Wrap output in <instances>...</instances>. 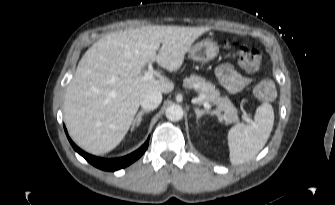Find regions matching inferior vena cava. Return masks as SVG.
Masks as SVG:
<instances>
[{"instance_id": "inferior-vena-cava-1", "label": "inferior vena cava", "mask_w": 335, "mask_h": 205, "mask_svg": "<svg viewBox=\"0 0 335 205\" xmlns=\"http://www.w3.org/2000/svg\"><path fill=\"white\" fill-rule=\"evenodd\" d=\"M162 101V94L155 89L145 91L140 98V105L144 110L156 109Z\"/></svg>"}]
</instances>
